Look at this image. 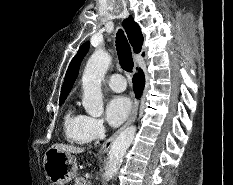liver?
<instances>
[{
    "instance_id": "obj_1",
    "label": "liver",
    "mask_w": 233,
    "mask_h": 185,
    "mask_svg": "<svg viewBox=\"0 0 233 185\" xmlns=\"http://www.w3.org/2000/svg\"><path fill=\"white\" fill-rule=\"evenodd\" d=\"M52 147L60 150V151H64V152H67V153H73V154H79V153H83L84 152V149L83 148H79V147H75V146H72V145H66V144H59V143H56L54 144Z\"/></svg>"
}]
</instances>
